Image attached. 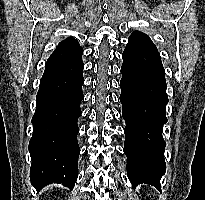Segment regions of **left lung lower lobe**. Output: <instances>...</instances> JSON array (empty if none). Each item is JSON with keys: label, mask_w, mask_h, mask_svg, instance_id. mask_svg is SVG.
I'll use <instances>...</instances> for the list:
<instances>
[{"label": "left lung lower lobe", "mask_w": 205, "mask_h": 200, "mask_svg": "<svg viewBox=\"0 0 205 200\" xmlns=\"http://www.w3.org/2000/svg\"><path fill=\"white\" fill-rule=\"evenodd\" d=\"M120 81L127 175L133 185L147 183L161 190L166 171L163 124L167 122L165 71L156 46L147 35L130 36L122 54Z\"/></svg>", "instance_id": "1"}]
</instances>
